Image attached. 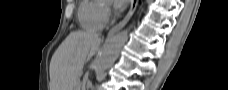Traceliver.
<instances>
[{
  "mask_svg": "<svg viewBox=\"0 0 228 90\" xmlns=\"http://www.w3.org/2000/svg\"><path fill=\"white\" fill-rule=\"evenodd\" d=\"M101 38L91 32H71L50 62L51 90H76L84 64L96 53Z\"/></svg>",
  "mask_w": 228,
  "mask_h": 90,
  "instance_id": "6515ba94",
  "label": "liver"
}]
</instances>
